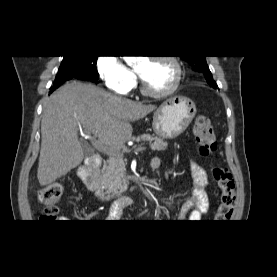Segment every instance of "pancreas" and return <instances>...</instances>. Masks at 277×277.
Here are the masks:
<instances>
[{
    "instance_id": "obj_1",
    "label": "pancreas",
    "mask_w": 277,
    "mask_h": 277,
    "mask_svg": "<svg viewBox=\"0 0 277 277\" xmlns=\"http://www.w3.org/2000/svg\"><path fill=\"white\" fill-rule=\"evenodd\" d=\"M136 142L150 141V148L153 151H163L167 142L162 138L143 134L135 139ZM130 177L126 173L125 160L122 154H113L103 165L100 174V182L112 195H119L128 188Z\"/></svg>"
}]
</instances>
